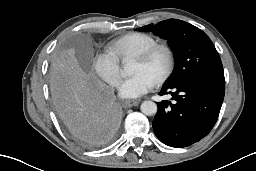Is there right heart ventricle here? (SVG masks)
I'll list each match as a JSON object with an SVG mask.
<instances>
[{
  "label": "right heart ventricle",
  "mask_w": 256,
  "mask_h": 171,
  "mask_svg": "<svg viewBox=\"0 0 256 171\" xmlns=\"http://www.w3.org/2000/svg\"><path fill=\"white\" fill-rule=\"evenodd\" d=\"M158 44V40L150 34L142 32L128 33L108 45V50L119 59L135 57L152 46Z\"/></svg>",
  "instance_id": "right-heart-ventricle-1"
}]
</instances>
